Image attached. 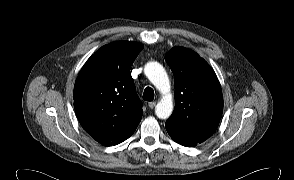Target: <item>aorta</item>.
I'll use <instances>...</instances> for the list:
<instances>
[{
    "mask_svg": "<svg viewBox=\"0 0 294 180\" xmlns=\"http://www.w3.org/2000/svg\"><path fill=\"white\" fill-rule=\"evenodd\" d=\"M144 72L163 95L155 107L156 116L160 119L169 118L173 111V100L170 93V81L165 69L158 62H149L145 65Z\"/></svg>",
    "mask_w": 294,
    "mask_h": 180,
    "instance_id": "1",
    "label": "aorta"
}]
</instances>
